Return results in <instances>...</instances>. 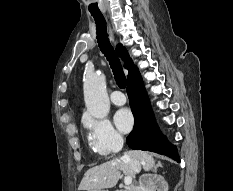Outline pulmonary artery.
Instances as JSON below:
<instances>
[{
    "mask_svg": "<svg viewBox=\"0 0 233 191\" xmlns=\"http://www.w3.org/2000/svg\"><path fill=\"white\" fill-rule=\"evenodd\" d=\"M110 99L113 104L118 106L124 105L126 103L125 95L119 90L113 91L110 95Z\"/></svg>",
    "mask_w": 233,
    "mask_h": 191,
    "instance_id": "pulmonary-artery-1",
    "label": "pulmonary artery"
}]
</instances>
